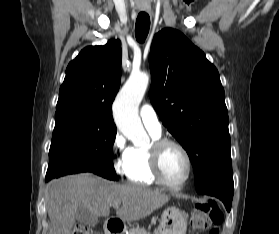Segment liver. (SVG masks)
<instances>
[{"label": "liver", "mask_w": 279, "mask_h": 234, "mask_svg": "<svg viewBox=\"0 0 279 234\" xmlns=\"http://www.w3.org/2000/svg\"><path fill=\"white\" fill-rule=\"evenodd\" d=\"M170 197L142 185H121L90 173L53 180L46 196L51 221L49 234H69L79 208L96 217H108L114 203L122 204L116 215L124 222L143 219L165 205Z\"/></svg>", "instance_id": "1"}]
</instances>
